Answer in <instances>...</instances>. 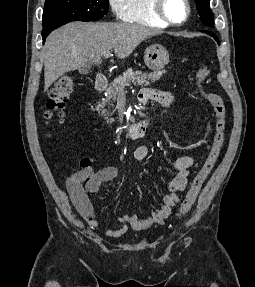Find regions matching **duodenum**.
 <instances>
[{
  "label": "duodenum",
  "instance_id": "1",
  "mask_svg": "<svg viewBox=\"0 0 255 287\" xmlns=\"http://www.w3.org/2000/svg\"><path fill=\"white\" fill-rule=\"evenodd\" d=\"M108 86V82L104 78H96L94 87L95 90L98 92H103ZM152 98L150 91H142L138 95V99L141 103L146 104L149 99ZM150 119L148 117L143 118L142 120L138 121L134 125L125 128L121 132V136L126 139H136L143 137L149 128Z\"/></svg>",
  "mask_w": 255,
  "mask_h": 287
}]
</instances>
